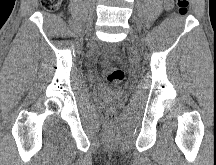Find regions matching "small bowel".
<instances>
[{"label": "small bowel", "instance_id": "c3829d8e", "mask_svg": "<svg viewBox=\"0 0 216 165\" xmlns=\"http://www.w3.org/2000/svg\"><path fill=\"white\" fill-rule=\"evenodd\" d=\"M173 0H164V5L167 8H170L172 6Z\"/></svg>", "mask_w": 216, "mask_h": 165}]
</instances>
